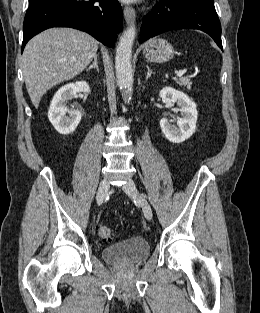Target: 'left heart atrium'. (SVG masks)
<instances>
[{
    "label": "left heart atrium",
    "instance_id": "1",
    "mask_svg": "<svg viewBox=\"0 0 260 313\" xmlns=\"http://www.w3.org/2000/svg\"><path fill=\"white\" fill-rule=\"evenodd\" d=\"M125 1H135V0H125Z\"/></svg>",
    "mask_w": 260,
    "mask_h": 313
}]
</instances>
